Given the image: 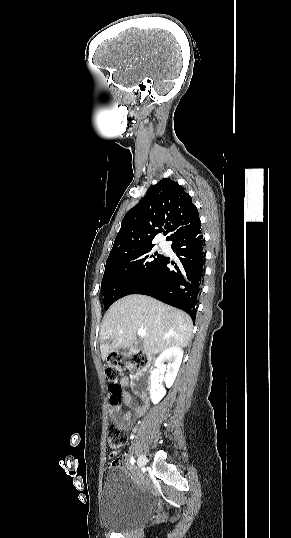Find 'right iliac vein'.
I'll list each match as a JSON object with an SVG mask.
<instances>
[{"mask_svg":"<svg viewBox=\"0 0 291 538\" xmlns=\"http://www.w3.org/2000/svg\"><path fill=\"white\" fill-rule=\"evenodd\" d=\"M146 463H147V458H146V456H145V455H140L139 458H138V460H137V464H138V466H139V467H143V466L146 465Z\"/></svg>","mask_w":291,"mask_h":538,"instance_id":"63e3f726","label":"right iliac vein"}]
</instances>
